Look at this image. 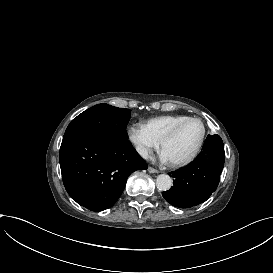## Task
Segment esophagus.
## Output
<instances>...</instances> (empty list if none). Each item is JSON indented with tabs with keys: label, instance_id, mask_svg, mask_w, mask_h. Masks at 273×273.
Here are the masks:
<instances>
[{
	"label": "esophagus",
	"instance_id": "esophagus-1",
	"mask_svg": "<svg viewBox=\"0 0 273 273\" xmlns=\"http://www.w3.org/2000/svg\"><path fill=\"white\" fill-rule=\"evenodd\" d=\"M148 171L150 172V173H159L160 171L159 170H157V169H155V168H153V167H148Z\"/></svg>",
	"mask_w": 273,
	"mask_h": 273
}]
</instances>
